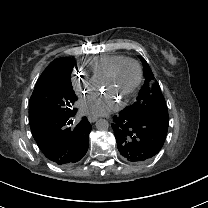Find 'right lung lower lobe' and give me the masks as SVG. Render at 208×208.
<instances>
[{
	"label": "right lung lower lobe",
	"mask_w": 208,
	"mask_h": 208,
	"mask_svg": "<svg viewBox=\"0 0 208 208\" xmlns=\"http://www.w3.org/2000/svg\"><path fill=\"white\" fill-rule=\"evenodd\" d=\"M69 116H55L42 122L30 121V128L39 149L53 163L71 165L81 160L88 150L92 126L86 117L74 127Z\"/></svg>",
	"instance_id": "1"
}]
</instances>
